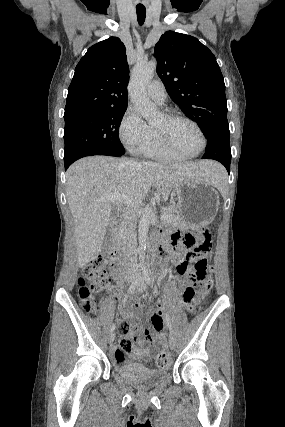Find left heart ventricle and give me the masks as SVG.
<instances>
[{"instance_id":"1","label":"left heart ventricle","mask_w":285,"mask_h":427,"mask_svg":"<svg viewBox=\"0 0 285 427\" xmlns=\"http://www.w3.org/2000/svg\"><path fill=\"white\" fill-rule=\"evenodd\" d=\"M154 127L168 134L172 142L186 153H195L201 147V138L196 128L182 120L168 121L161 114L153 123Z\"/></svg>"}]
</instances>
